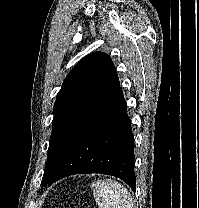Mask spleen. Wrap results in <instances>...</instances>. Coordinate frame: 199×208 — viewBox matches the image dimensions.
<instances>
[{
    "label": "spleen",
    "mask_w": 199,
    "mask_h": 208,
    "mask_svg": "<svg viewBox=\"0 0 199 208\" xmlns=\"http://www.w3.org/2000/svg\"><path fill=\"white\" fill-rule=\"evenodd\" d=\"M93 195L99 208H133V200L127 188L111 179L92 183Z\"/></svg>",
    "instance_id": "obj_1"
}]
</instances>
